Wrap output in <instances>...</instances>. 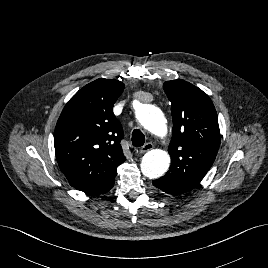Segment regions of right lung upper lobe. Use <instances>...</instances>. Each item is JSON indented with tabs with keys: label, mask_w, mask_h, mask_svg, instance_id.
Instances as JSON below:
<instances>
[{
	"label": "right lung upper lobe",
	"mask_w": 268,
	"mask_h": 268,
	"mask_svg": "<svg viewBox=\"0 0 268 268\" xmlns=\"http://www.w3.org/2000/svg\"><path fill=\"white\" fill-rule=\"evenodd\" d=\"M124 90L116 80L97 79L65 105L55 128L57 162L69 183L89 195L114 186L117 167L125 161L123 130L112 108Z\"/></svg>",
	"instance_id": "right-lung-upper-lobe-1"
}]
</instances>
